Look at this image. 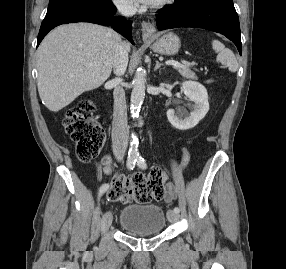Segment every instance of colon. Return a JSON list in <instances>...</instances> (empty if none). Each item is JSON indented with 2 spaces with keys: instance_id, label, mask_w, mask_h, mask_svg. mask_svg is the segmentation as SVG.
Instances as JSON below:
<instances>
[{
  "instance_id": "obj_1",
  "label": "colon",
  "mask_w": 286,
  "mask_h": 269,
  "mask_svg": "<svg viewBox=\"0 0 286 269\" xmlns=\"http://www.w3.org/2000/svg\"><path fill=\"white\" fill-rule=\"evenodd\" d=\"M212 83V78H207ZM94 103L89 99L80 100L68 110L63 126L65 132L77 145L78 158L88 162L100 152L105 133L102 127L92 119ZM164 195V173L159 170L145 175L136 173L131 177L118 174L114 177L107 192V199L111 202H126L135 199L145 203L152 199H159Z\"/></svg>"
}]
</instances>
